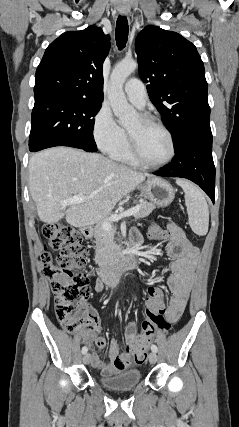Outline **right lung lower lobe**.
<instances>
[{
    "label": "right lung lower lobe",
    "instance_id": "obj_1",
    "mask_svg": "<svg viewBox=\"0 0 239 427\" xmlns=\"http://www.w3.org/2000/svg\"><path fill=\"white\" fill-rule=\"evenodd\" d=\"M96 149H97V146H96ZM32 152H36V151H32ZM90 152H94V151H90Z\"/></svg>",
    "mask_w": 239,
    "mask_h": 427
}]
</instances>
